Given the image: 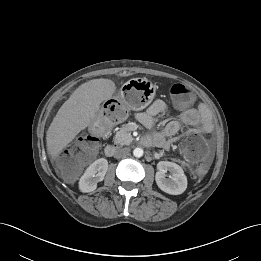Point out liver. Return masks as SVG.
I'll use <instances>...</instances> for the list:
<instances>
[{
	"label": "liver",
	"mask_w": 261,
	"mask_h": 261,
	"mask_svg": "<svg viewBox=\"0 0 261 261\" xmlns=\"http://www.w3.org/2000/svg\"><path fill=\"white\" fill-rule=\"evenodd\" d=\"M115 83L110 79H93L81 84L60 107L47 135V151L57 157L76 135L90 126L100 104L115 93Z\"/></svg>",
	"instance_id": "1"
}]
</instances>
